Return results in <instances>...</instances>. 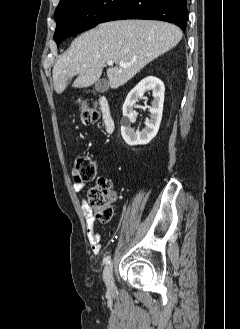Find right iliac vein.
<instances>
[{"label": "right iliac vein", "instance_id": "right-iliac-vein-1", "mask_svg": "<svg viewBox=\"0 0 240 329\" xmlns=\"http://www.w3.org/2000/svg\"><path fill=\"white\" fill-rule=\"evenodd\" d=\"M103 279L106 287L109 291L114 289V279H113V267L112 264H108L103 272Z\"/></svg>", "mask_w": 240, "mask_h": 329}]
</instances>
